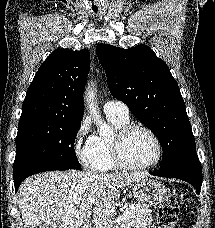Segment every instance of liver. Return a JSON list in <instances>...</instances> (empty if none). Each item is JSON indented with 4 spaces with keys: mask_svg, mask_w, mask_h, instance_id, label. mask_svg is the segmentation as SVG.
<instances>
[{
    "mask_svg": "<svg viewBox=\"0 0 215 228\" xmlns=\"http://www.w3.org/2000/svg\"><path fill=\"white\" fill-rule=\"evenodd\" d=\"M146 178L132 174H92V172H44L22 182L18 206L25 228H113L112 216L120 198V188ZM95 200L90 214L84 204Z\"/></svg>",
    "mask_w": 215,
    "mask_h": 228,
    "instance_id": "liver-1",
    "label": "liver"
}]
</instances>
